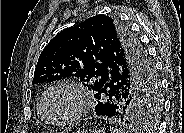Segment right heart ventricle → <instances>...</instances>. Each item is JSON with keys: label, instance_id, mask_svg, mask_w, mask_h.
I'll use <instances>...</instances> for the list:
<instances>
[{"label": "right heart ventricle", "instance_id": "obj_1", "mask_svg": "<svg viewBox=\"0 0 184 133\" xmlns=\"http://www.w3.org/2000/svg\"><path fill=\"white\" fill-rule=\"evenodd\" d=\"M40 102V101H39ZM38 112H39V114L41 115V112L39 111V103H38ZM41 117H42V115H41ZM43 118V117H42Z\"/></svg>", "mask_w": 184, "mask_h": 133}]
</instances>
